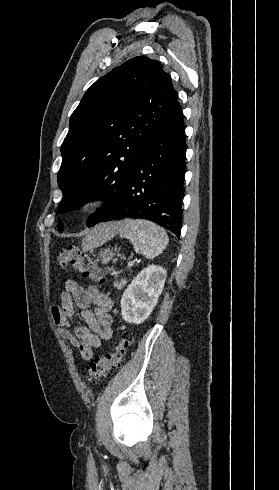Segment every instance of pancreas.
<instances>
[{"label": "pancreas", "mask_w": 279, "mask_h": 490, "mask_svg": "<svg viewBox=\"0 0 279 490\" xmlns=\"http://www.w3.org/2000/svg\"><path fill=\"white\" fill-rule=\"evenodd\" d=\"M123 284H124V282H123V280H121V284H117L118 288H122Z\"/></svg>", "instance_id": "1"}]
</instances>
